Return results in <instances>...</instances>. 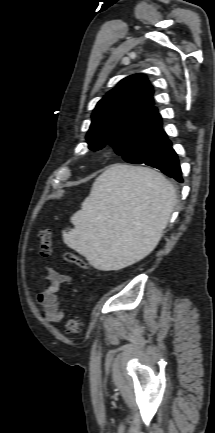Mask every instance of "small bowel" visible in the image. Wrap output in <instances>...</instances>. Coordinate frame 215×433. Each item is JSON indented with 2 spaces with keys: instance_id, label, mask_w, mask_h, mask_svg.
I'll return each instance as SVG.
<instances>
[{
  "instance_id": "1",
  "label": "small bowel",
  "mask_w": 215,
  "mask_h": 433,
  "mask_svg": "<svg viewBox=\"0 0 215 433\" xmlns=\"http://www.w3.org/2000/svg\"><path fill=\"white\" fill-rule=\"evenodd\" d=\"M45 278L49 282V286L38 292L37 301L41 305L46 319L51 323H58L65 315L60 296L61 291L64 286L71 282V277L47 267Z\"/></svg>"
}]
</instances>
